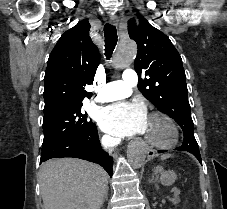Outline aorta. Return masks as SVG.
Here are the masks:
<instances>
[{"mask_svg": "<svg viewBox=\"0 0 227 209\" xmlns=\"http://www.w3.org/2000/svg\"><path fill=\"white\" fill-rule=\"evenodd\" d=\"M137 53L136 43L133 41L121 42L113 58V65L117 69L128 67ZM127 157L133 168H140L146 158V150L141 143H134L128 147Z\"/></svg>", "mask_w": 227, "mask_h": 209, "instance_id": "1", "label": "aorta"}]
</instances>
